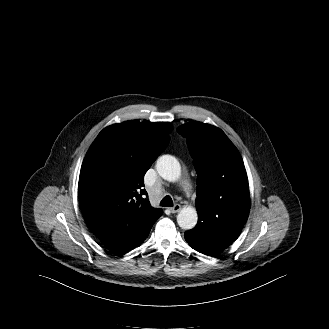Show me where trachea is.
I'll list each match as a JSON object with an SVG mask.
<instances>
[{
    "label": "trachea",
    "mask_w": 329,
    "mask_h": 329,
    "mask_svg": "<svg viewBox=\"0 0 329 329\" xmlns=\"http://www.w3.org/2000/svg\"><path fill=\"white\" fill-rule=\"evenodd\" d=\"M160 205L163 207H171L173 206V200L170 196L167 195L161 200Z\"/></svg>",
    "instance_id": "trachea-1"
}]
</instances>
